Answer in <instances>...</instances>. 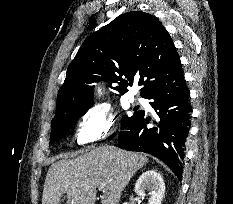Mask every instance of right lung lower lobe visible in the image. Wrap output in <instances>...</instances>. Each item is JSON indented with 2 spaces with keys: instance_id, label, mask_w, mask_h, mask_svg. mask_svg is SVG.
<instances>
[{
  "instance_id": "obj_1",
  "label": "right lung lower lobe",
  "mask_w": 233,
  "mask_h": 204,
  "mask_svg": "<svg viewBox=\"0 0 233 204\" xmlns=\"http://www.w3.org/2000/svg\"><path fill=\"white\" fill-rule=\"evenodd\" d=\"M143 97L153 100L150 105L159 117L158 121H153L157 126L148 127L151 118L145 111H139L126 130L119 133L118 145L122 149L154 155L181 180L192 112L181 62L169 67Z\"/></svg>"
}]
</instances>
